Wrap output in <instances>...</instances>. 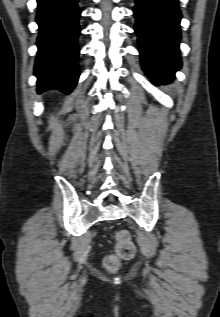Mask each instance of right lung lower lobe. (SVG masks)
I'll return each instance as SVG.
<instances>
[{"label":"right lung lower lobe","instance_id":"1","mask_svg":"<svg viewBox=\"0 0 220 317\" xmlns=\"http://www.w3.org/2000/svg\"><path fill=\"white\" fill-rule=\"evenodd\" d=\"M39 25L38 56L34 74L38 92L57 89L64 93L76 85L79 78L78 0H37Z\"/></svg>","mask_w":220,"mask_h":317}]
</instances>
